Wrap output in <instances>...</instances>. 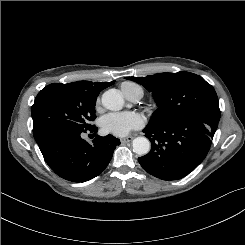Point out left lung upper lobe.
<instances>
[{"mask_svg":"<svg viewBox=\"0 0 245 245\" xmlns=\"http://www.w3.org/2000/svg\"><path fill=\"white\" fill-rule=\"evenodd\" d=\"M143 85L158 109L148 124L160 127L188 117L204 116L219 121L220 109L214 88L201 76L189 72L158 73L147 77H126Z\"/></svg>","mask_w":245,"mask_h":245,"instance_id":"left-lung-upper-lobe-1","label":"left lung upper lobe"}]
</instances>
